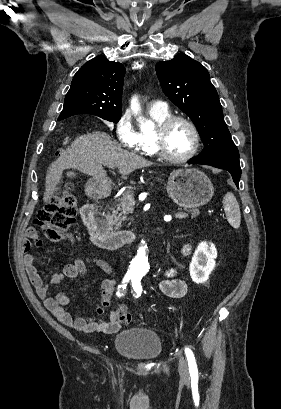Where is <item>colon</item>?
Returning a JSON list of instances; mask_svg holds the SVG:
<instances>
[{"label": "colon", "instance_id": "obj_1", "mask_svg": "<svg viewBox=\"0 0 281 409\" xmlns=\"http://www.w3.org/2000/svg\"><path fill=\"white\" fill-rule=\"evenodd\" d=\"M72 140L67 138L65 145L60 152L64 155L71 147ZM65 191H61L57 187L47 206L38 212L35 224L42 230L50 239L59 241L62 239V234L72 228L75 222L76 200L68 194L72 189V183L63 184ZM130 309L128 306H119L116 317L122 322H129Z\"/></svg>", "mask_w": 281, "mask_h": 409}]
</instances>
